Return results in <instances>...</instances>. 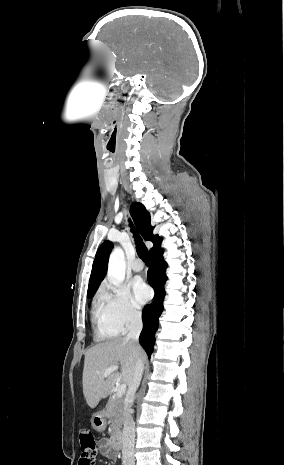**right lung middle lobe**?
<instances>
[{
  "label": "right lung middle lobe",
  "mask_w": 284,
  "mask_h": 465,
  "mask_svg": "<svg viewBox=\"0 0 284 465\" xmlns=\"http://www.w3.org/2000/svg\"><path fill=\"white\" fill-rule=\"evenodd\" d=\"M92 297H93V295H88V296H87V298H92Z\"/></svg>",
  "instance_id": "1"
}]
</instances>
